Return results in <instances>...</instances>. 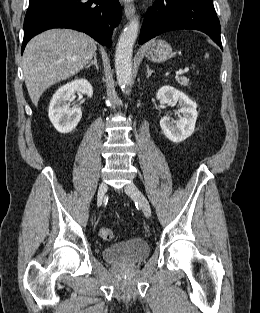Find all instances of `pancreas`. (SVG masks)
I'll list each match as a JSON object with an SVG mask.
<instances>
[{"mask_svg": "<svg viewBox=\"0 0 260 313\" xmlns=\"http://www.w3.org/2000/svg\"><path fill=\"white\" fill-rule=\"evenodd\" d=\"M177 81H178V83H179L181 86H184V87L188 86V84H189V82H190L189 79L186 78V77H180V78L177 79Z\"/></svg>", "mask_w": 260, "mask_h": 313, "instance_id": "pancreas-1", "label": "pancreas"}]
</instances>
